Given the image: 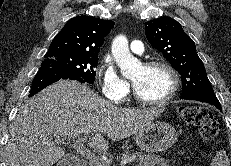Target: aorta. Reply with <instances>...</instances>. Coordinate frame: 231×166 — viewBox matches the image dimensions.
<instances>
[{"instance_id":"aorta-1","label":"aorta","mask_w":231,"mask_h":166,"mask_svg":"<svg viewBox=\"0 0 231 166\" xmlns=\"http://www.w3.org/2000/svg\"><path fill=\"white\" fill-rule=\"evenodd\" d=\"M112 54L124 77H130L141 68V62L130 53L128 40L124 35H119L113 40Z\"/></svg>"}]
</instances>
